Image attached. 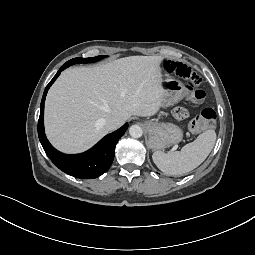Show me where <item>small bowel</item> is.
Returning a JSON list of instances; mask_svg holds the SVG:
<instances>
[{"instance_id":"c3829d8e","label":"small bowel","mask_w":255,"mask_h":255,"mask_svg":"<svg viewBox=\"0 0 255 255\" xmlns=\"http://www.w3.org/2000/svg\"><path fill=\"white\" fill-rule=\"evenodd\" d=\"M172 117L176 122L183 123L188 119L189 112L185 107L178 106L173 110Z\"/></svg>"}]
</instances>
